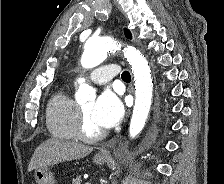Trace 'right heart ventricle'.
I'll use <instances>...</instances> for the list:
<instances>
[{"label": "right heart ventricle", "mask_w": 224, "mask_h": 184, "mask_svg": "<svg viewBox=\"0 0 224 184\" xmlns=\"http://www.w3.org/2000/svg\"><path fill=\"white\" fill-rule=\"evenodd\" d=\"M78 104L67 89L56 91L46 106V126L50 134L59 139L76 140Z\"/></svg>", "instance_id": "1"}]
</instances>
